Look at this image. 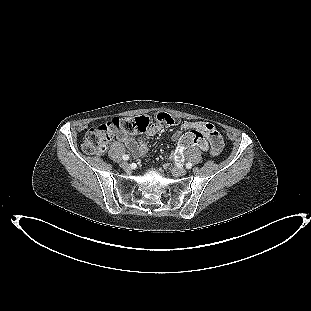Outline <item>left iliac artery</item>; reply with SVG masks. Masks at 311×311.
<instances>
[{
  "label": "left iliac artery",
  "mask_w": 311,
  "mask_h": 311,
  "mask_svg": "<svg viewBox=\"0 0 311 311\" xmlns=\"http://www.w3.org/2000/svg\"><path fill=\"white\" fill-rule=\"evenodd\" d=\"M186 168H187V169L192 168V163H191V162H188V163L186 164Z\"/></svg>",
  "instance_id": "left-iliac-artery-1"
}]
</instances>
